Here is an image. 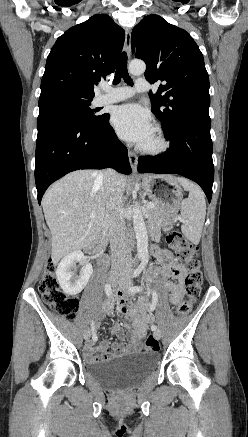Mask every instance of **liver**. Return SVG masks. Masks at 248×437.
Returning <instances> with one entry per match:
<instances>
[{
  "label": "liver",
  "mask_w": 248,
  "mask_h": 437,
  "mask_svg": "<svg viewBox=\"0 0 248 437\" xmlns=\"http://www.w3.org/2000/svg\"><path fill=\"white\" fill-rule=\"evenodd\" d=\"M122 192L126 177L118 174ZM107 195L101 172H72L45 193L42 206L52 235L51 259L54 264L66 255L93 244L104 226ZM95 212V217L90 214Z\"/></svg>",
  "instance_id": "1"
}]
</instances>
